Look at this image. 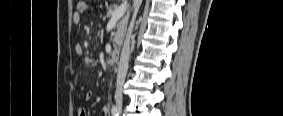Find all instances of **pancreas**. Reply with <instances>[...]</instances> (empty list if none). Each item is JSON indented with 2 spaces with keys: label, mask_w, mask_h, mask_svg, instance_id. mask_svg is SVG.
<instances>
[{
  "label": "pancreas",
  "mask_w": 283,
  "mask_h": 116,
  "mask_svg": "<svg viewBox=\"0 0 283 116\" xmlns=\"http://www.w3.org/2000/svg\"><path fill=\"white\" fill-rule=\"evenodd\" d=\"M117 5H112L109 7L108 11H107V17H111V14L115 11V9H117ZM126 25H127V19H123L121 20L118 24H117V32L115 33V37H114V47H117L119 45H121L122 43V39L124 36V32L126 31Z\"/></svg>",
  "instance_id": "pancreas-1"
}]
</instances>
